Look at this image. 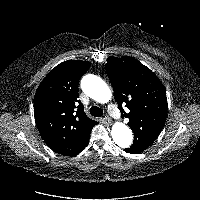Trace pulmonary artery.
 <instances>
[{
    "label": "pulmonary artery",
    "mask_w": 200,
    "mask_h": 200,
    "mask_svg": "<svg viewBox=\"0 0 200 200\" xmlns=\"http://www.w3.org/2000/svg\"><path fill=\"white\" fill-rule=\"evenodd\" d=\"M111 113L118 120H121L123 118V116L120 113H118L116 110L111 111Z\"/></svg>",
    "instance_id": "1"
}]
</instances>
